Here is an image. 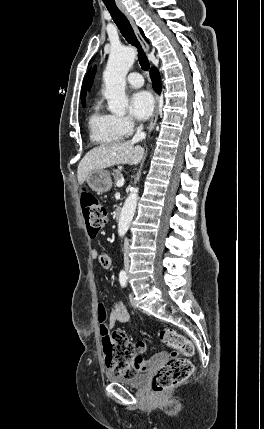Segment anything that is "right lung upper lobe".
<instances>
[{
	"instance_id": "cb5924a9",
	"label": "right lung upper lobe",
	"mask_w": 264,
	"mask_h": 429,
	"mask_svg": "<svg viewBox=\"0 0 264 429\" xmlns=\"http://www.w3.org/2000/svg\"><path fill=\"white\" fill-rule=\"evenodd\" d=\"M140 29V28H139ZM141 34L144 36L143 31L140 29ZM145 37V36H144ZM88 76L89 73L87 74V76L85 77L84 81H83V85H82V89H81V100H82V105H85V97H86V84H87V80H88Z\"/></svg>"
}]
</instances>
